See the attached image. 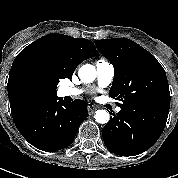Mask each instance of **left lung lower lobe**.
<instances>
[{"label":"left lung lower lobe","instance_id":"left-lung-lower-lobe-1","mask_svg":"<svg viewBox=\"0 0 178 178\" xmlns=\"http://www.w3.org/2000/svg\"><path fill=\"white\" fill-rule=\"evenodd\" d=\"M166 123L124 110L113 114L102 130L106 147L121 156H134L149 149L162 134Z\"/></svg>","mask_w":178,"mask_h":178}]
</instances>
